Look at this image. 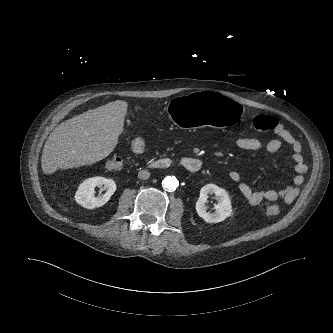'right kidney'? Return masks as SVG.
Here are the masks:
<instances>
[{"label":"right kidney","mask_w":333,"mask_h":333,"mask_svg":"<svg viewBox=\"0 0 333 333\" xmlns=\"http://www.w3.org/2000/svg\"><path fill=\"white\" fill-rule=\"evenodd\" d=\"M95 187H101L106 192L102 196H95ZM116 191V183L112 179L96 176L86 179L80 184L75 200L78 204L87 209H94L106 204Z\"/></svg>","instance_id":"obj_1"}]
</instances>
